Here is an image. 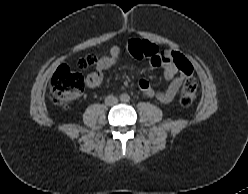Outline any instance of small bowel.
<instances>
[{
	"label": "small bowel",
	"mask_w": 248,
	"mask_h": 194,
	"mask_svg": "<svg viewBox=\"0 0 248 194\" xmlns=\"http://www.w3.org/2000/svg\"><path fill=\"white\" fill-rule=\"evenodd\" d=\"M130 43L122 48L120 46L112 47L108 53H103L98 60L96 70L87 78V86L89 88H98L103 84V72L111 68L119 61L123 53H129ZM183 60L178 62L175 59V53L167 50L158 49L157 53L151 57V62L154 66H159L163 70V74L171 82L164 90L154 88L150 82L142 77L139 79L138 85L140 90L148 97L157 100L160 103L166 104L171 102L177 95L186 76L185 71L187 66L191 67L189 61L182 56Z\"/></svg>",
	"instance_id": "obj_1"
}]
</instances>
